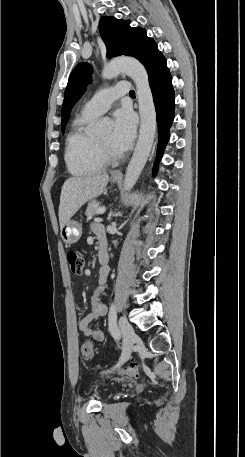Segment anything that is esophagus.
Segmentation results:
<instances>
[{
  "instance_id": "34e87169",
  "label": "esophagus",
  "mask_w": 245,
  "mask_h": 457,
  "mask_svg": "<svg viewBox=\"0 0 245 457\" xmlns=\"http://www.w3.org/2000/svg\"><path fill=\"white\" fill-rule=\"evenodd\" d=\"M111 175H112L113 177H122V176H123L121 170H114V171L111 173Z\"/></svg>"
}]
</instances>
